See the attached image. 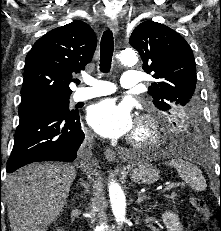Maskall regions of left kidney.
<instances>
[{"label": "left kidney", "mask_w": 221, "mask_h": 231, "mask_svg": "<svg viewBox=\"0 0 221 231\" xmlns=\"http://www.w3.org/2000/svg\"><path fill=\"white\" fill-rule=\"evenodd\" d=\"M162 220L167 228V231H183V228L180 225V219L177 214L171 211H165L162 214Z\"/></svg>", "instance_id": "obj_1"}]
</instances>
